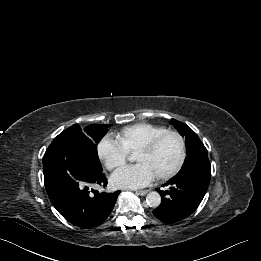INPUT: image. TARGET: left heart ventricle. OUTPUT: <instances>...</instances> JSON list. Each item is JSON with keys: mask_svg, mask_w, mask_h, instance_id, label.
<instances>
[{"mask_svg": "<svg viewBox=\"0 0 261 261\" xmlns=\"http://www.w3.org/2000/svg\"><path fill=\"white\" fill-rule=\"evenodd\" d=\"M179 153L178 139L169 135L164 137L152 152H136L134 160L147 165L157 176L167 172L176 164Z\"/></svg>", "mask_w": 261, "mask_h": 261, "instance_id": "b2bd125f", "label": "left heart ventricle"}]
</instances>
